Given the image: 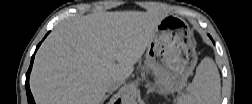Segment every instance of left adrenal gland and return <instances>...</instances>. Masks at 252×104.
<instances>
[{
  "instance_id": "1",
  "label": "left adrenal gland",
  "mask_w": 252,
  "mask_h": 104,
  "mask_svg": "<svg viewBox=\"0 0 252 104\" xmlns=\"http://www.w3.org/2000/svg\"><path fill=\"white\" fill-rule=\"evenodd\" d=\"M146 87L148 88L147 93H150V92H159L157 89H155L149 83H147Z\"/></svg>"
}]
</instances>
